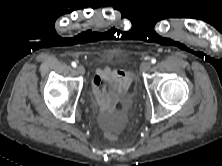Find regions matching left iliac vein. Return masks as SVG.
Here are the masks:
<instances>
[{"label": "left iliac vein", "mask_w": 222, "mask_h": 166, "mask_svg": "<svg viewBox=\"0 0 222 166\" xmlns=\"http://www.w3.org/2000/svg\"><path fill=\"white\" fill-rule=\"evenodd\" d=\"M151 66H152L151 63L146 61L141 64L140 68H141V71L147 72L151 69Z\"/></svg>", "instance_id": "1"}]
</instances>
